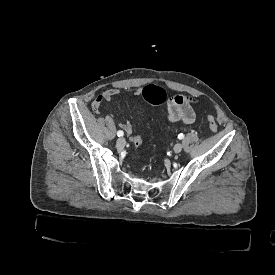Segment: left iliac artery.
<instances>
[{"instance_id": "1", "label": "left iliac artery", "mask_w": 275, "mask_h": 275, "mask_svg": "<svg viewBox=\"0 0 275 275\" xmlns=\"http://www.w3.org/2000/svg\"><path fill=\"white\" fill-rule=\"evenodd\" d=\"M184 138V134L183 133H180L179 135H178V139H183Z\"/></svg>"}]
</instances>
